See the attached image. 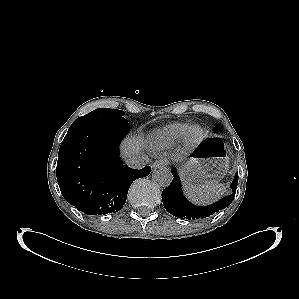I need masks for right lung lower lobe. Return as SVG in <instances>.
Masks as SVG:
<instances>
[{
  "label": "right lung lower lobe",
  "instance_id": "obj_1",
  "mask_svg": "<svg viewBox=\"0 0 299 299\" xmlns=\"http://www.w3.org/2000/svg\"><path fill=\"white\" fill-rule=\"evenodd\" d=\"M128 122L70 128L63 139L56 168L65 200L87 215H105L123 208L132 182L148 176L151 167L131 169L120 161L118 145Z\"/></svg>",
  "mask_w": 299,
  "mask_h": 299
}]
</instances>
